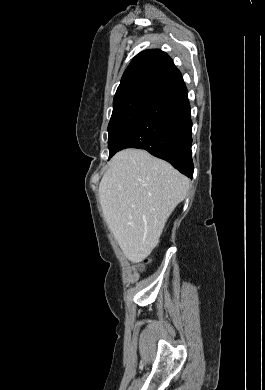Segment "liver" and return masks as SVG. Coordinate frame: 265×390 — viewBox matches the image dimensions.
<instances>
[{"instance_id":"1","label":"liver","mask_w":265,"mask_h":390,"mask_svg":"<svg viewBox=\"0 0 265 390\" xmlns=\"http://www.w3.org/2000/svg\"><path fill=\"white\" fill-rule=\"evenodd\" d=\"M189 186L187 177L145 150L125 149L112 158L99 198L107 225L128 260L139 263L157 246Z\"/></svg>"}]
</instances>
